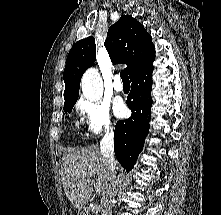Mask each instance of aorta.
<instances>
[{
	"instance_id": "aorta-1",
	"label": "aorta",
	"mask_w": 221,
	"mask_h": 215,
	"mask_svg": "<svg viewBox=\"0 0 221 215\" xmlns=\"http://www.w3.org/2000/svg\"><path fill=\"white\" fill-rule=\"evenodd\" d=\"M83 95L90 101H98L103 95L102 79L94 68L88 69L81 81Z\"/></svg>"
}]
</instances>
